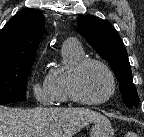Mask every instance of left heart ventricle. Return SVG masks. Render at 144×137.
<instances>
[{
    "label": "left heart ventricle",
    "mask_w": 144,
    "mask_h": 137,
    "mask_svg": "<svg viewBox=\"0 0 144 137\" xmlns=\"http://www.w3.org/2000/svg\"><path fill=\"white\" fill-rule=\"evenodd\" d=\"M110 89V79L98 65H88L79 75L78 90L87 100H100L109 93Z\"/></svg>",
    "instance_id": "1"
}]
</instances>
